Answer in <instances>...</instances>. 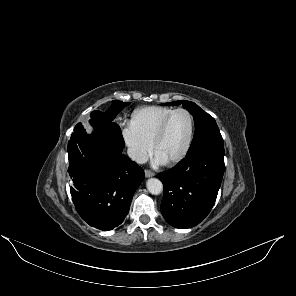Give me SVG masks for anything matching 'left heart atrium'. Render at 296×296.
Segmentation results:
<instances>
[{
    "mask_svg": "<svg viewBox=\"0 0 296 296\" xmlns=\"http://www.w3.org/2000/svg\"><path fill=\"white\" fill-rule=\"evenodd\" d=\"M155 162L157 163V164H163L164 162L159 158V157H157L156 155H155Z\"/></svg>",
    "mask_w": 296,
    "mask_h": 296,
    "instance_id": "1",
    "label": "left heart atrium"
}]
</instances>
